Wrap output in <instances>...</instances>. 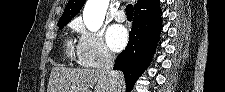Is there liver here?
I'll return each instance as SVG.
<instances>
[{"label":"liver","mask_w":225,"mask_h":92,"mask_svg":"<svg viewBox=\"0 0 225 92\" xmlns=\"http://www.w3.org/2000/svg\"><path fill=\"white\" fill-rule=\"evenodd\" d=\"M94 91H91V88ZM116 90V91H112ZM124 90V77L117 72V83L112 89L109 76L99 69H52L47 92H121Z\"/></svg>","instance_id":"obj_1"}]
</instances>
